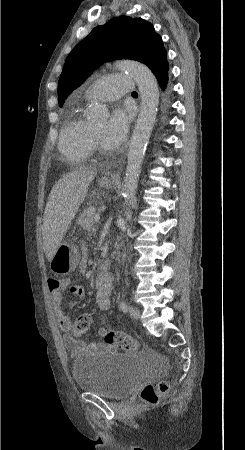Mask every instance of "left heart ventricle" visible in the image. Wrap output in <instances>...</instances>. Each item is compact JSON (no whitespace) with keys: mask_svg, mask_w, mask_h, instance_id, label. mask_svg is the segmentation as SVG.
Listing matches in <instances>:
<instances>
[{"mask_svg":"<svg viewBox=\"0 0 245 450\" xmlns=\"http://www.w3.org/2000/svg\"><path fill=\"white\" fill-rule=\"evenodd\" d=\"M92 127H93L95 133L100 138V140L103 141L104 130H105V127H106L105 122L94 124Z\"/></svg>","mask_w":245,"mask_h":450,"instance_id":"1","label":"left heart ventricle"}]
</instances>
